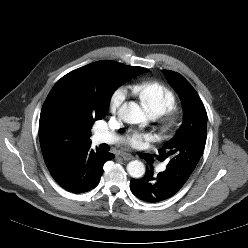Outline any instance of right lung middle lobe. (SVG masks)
<instances>
[{"instance_id": "1", "label": "right lung middle lobe", "mask_w": 248, "mask_h": 248, "mask_svg": "<svg viewBox=\"0 0 248 248\" xmlns=\"http://www.w3.org/2000/svg\"><path fill=\"white\" fill-rule=\"evenodd\" d=\"M81 76L62 77L57 83L53 106L61 114L84 122L90 131L95 120L102 119L106 113L93 115L95 104L105 101L109 104L115 89L132 77L148 71L146 68L127 66L115 62L112 67L93 63Z\"/></svg>"}]
</instances>
